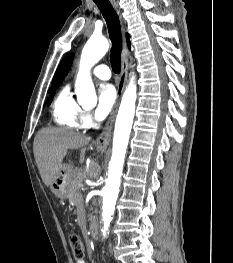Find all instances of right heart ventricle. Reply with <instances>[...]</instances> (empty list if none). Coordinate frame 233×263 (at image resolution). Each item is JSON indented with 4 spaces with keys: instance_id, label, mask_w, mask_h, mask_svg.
<instances>
[{
    "instance_id": "1",
    "label": "right heart ventricle",
    "mask_w": 233,
    "mask_h": 263,
    "mask_svg": "<svg viewBox=\"0 0 233 263\" xmlns=\"http://www.w3.org/2000/svg\"><path fill=\"white\" fill-rule=\"evenodd\" d=\"M83 110L70 92L69 86L63 87L57 94L52 109L54 121L64 127L82 128L80 117Z\"/></svg>"
}]
</instances>
